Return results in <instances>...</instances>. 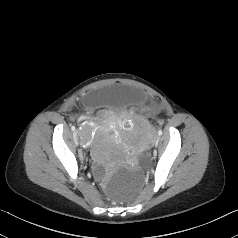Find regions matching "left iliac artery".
<instances>
[{
	"label": "left iliac artery",
	"mask_w": 238,
	"mask_h": 238,
	"mask_svg": "<svg viewBox=\"0 0 238 238\" xmlns=\"http://www.w3.org/2000/svg\"><path fill=\"white\" fill-rule=\"evenodd\" d=\"M158 134H159V135H162V131H161V130H159V131H158Z\"/></svg>",
	"instance_id": "obj_1"
}]
</instances>
